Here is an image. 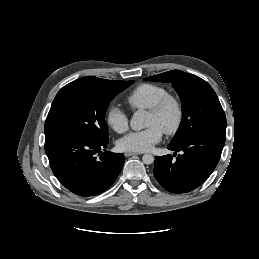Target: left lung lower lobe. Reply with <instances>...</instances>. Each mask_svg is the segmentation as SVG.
Instances as JSON below:
<instances>
[{
    "mask_svg": "<svg viewBox=\"0 0 259 259\" xmlns=\"http://www.w3.org/2000/svg\"><path fill=\"white\" fill-rule=\"evenodd\" d=\"M225 138L223 134L206 132L192 136L178 146L169 144L168 149L182 151V154L176 159L171 155L156 156L155 178L172 193L196 189L208 179L218 164Z\"/></svg>",
    "mask_w": 259,
    "mask_h": 259,
    "instance_id": "left-lung-lower-lobe-1",
    "label": "left lung lower lobe"
}]
</instances>
